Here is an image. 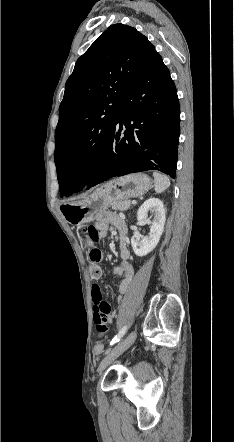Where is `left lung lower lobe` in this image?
<instances>
[{
	"mask_svg": "<svg viewBox=\"0 0 234 442\" xmlns=\"http://www.w3.org/2000/svg\"><path fill=\"white\" fill-rule=\"evenodd\" d=\"M179 124L175 84L155 51L123 97L106 150L87 189L115 176L146 170H159L174 178Z\"/></svg>",
	"mask_w": 234,
	"mask_h": 442,
	"instance_id": "obj_1",
	"label": "left lung lower lobe"
}]
</instances>
